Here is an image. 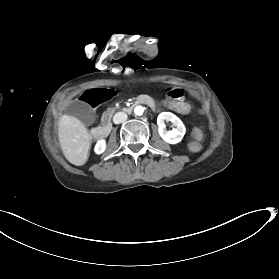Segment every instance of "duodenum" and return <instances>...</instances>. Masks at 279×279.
Listing matches in <instances>:
<instances>
[{
  "label": "duodenum",
  "mask_w": 279,
  "mask_h": 279,
  "mask_svg": "<svg viewBox=\"0 0 279 279\" xmlns=\"http://www.w3.org/2000/svg\"><path fill=\"white\" fill-rule=\"evenodd\" d=\"M146 103L149 106L154 105V108H156V111H159V108H157V104L150 98L146 97L144 94H141L138 96L134 101H131L128 106H123L124 112H133L135 110V106H138L140 103ZM105 128L102 130L99 127H92L90 129V136L94 140L99 139H105L110 134V131L112 130V121L110 119H107L105 121Z\"/></svg>",
  "instance_id": "410a0bca"
}]
</instances>
